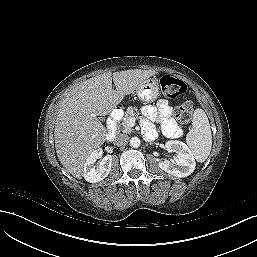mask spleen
I'll use <instances>...</instances> for the list:
<instances>
[{
  "label": "spleen",
  "mask_w": 257,
  "mask_h": 257,
  "mask_svg": "<svg viewBox=\"0 0 257 257\" xmlns=\"http://www.w3.org/2000/svg\"><path fill=\"white\" fill-rule=\"evenodd\" d=\"M186 143L193 157L198 162H204L212 148V134L209 120L202 109L193 113L192 128L186 136Z\"/></svg>",
  "instance_id": "1"
}]
</instances>
